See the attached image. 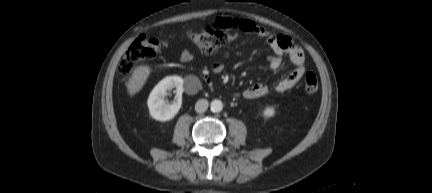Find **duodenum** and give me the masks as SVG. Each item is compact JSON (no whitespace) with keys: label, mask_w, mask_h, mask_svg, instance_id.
<instances>
[{"label":"duodenum","mask_w":432,"mask_h":193,"mask_svg":"<svg viewBox=\"0 0 432 193\" xmlns=\"http://www.w3.org/2000/svg\"><path fill=\"white\" fill-rule=\"evenodd\" d=\"M204 79L207 81V82H209V79H208V77H206V76H204Z\"/></svg>","instance_id":"obj_1"}]
</instances>
